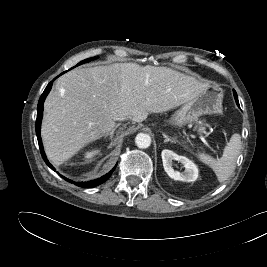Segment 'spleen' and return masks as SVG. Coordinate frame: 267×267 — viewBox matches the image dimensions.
<instances>
[{
    "label": "spleen",
    "instance_id": "obj_1",
    "mask_svg": "<svg viewBox=\"0 0 267 267\" xmlns=\"http://www.w3.org/2000/svg\"><path fill=\"white\" fill-rule=\"evenodd\" d=\"M241 147V136L236 133L233 134L229 142H227L224 147L223 155L220 158L214 159L210 155L201 153L198 155V159L202 163L210 166L215 172L218 181L222 183L234 172Z\"/></svg>",
    "mask_w": 267,
    "mask_h": 267
}]
</instances>
